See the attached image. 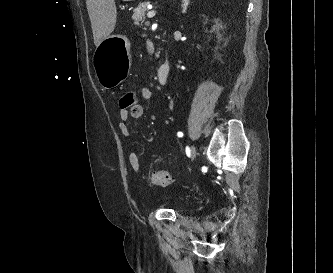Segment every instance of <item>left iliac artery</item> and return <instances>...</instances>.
I'll return each mask as SVG.
<instances>
[{"label":"left iliac artery","mask_w":333,"mask_h":273,"mask_svg":"<svg viewBox=\"0 0 333 273\" xmlns=\"http://www.w3.org/2000/svg\"><path fill=\"white\" fill-rule=\"evenodd\" d=\"M177 136H178V137H182V136H183V133H182V132H178V133H177Z\"/></svg>","instance_id":"1"}]
</instances>
